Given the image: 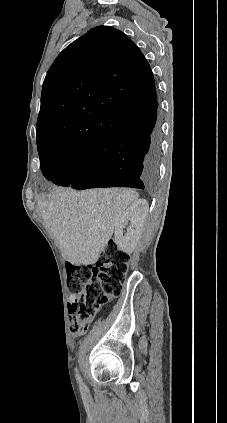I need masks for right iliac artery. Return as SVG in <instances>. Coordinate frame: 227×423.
I'll return each mask as SVG.
<instances>
[{"instance_id": "right-iliac-artery-1", "label": "right iliac artery", "mask_w": 227, "mask_h": 423, "mask_svg": "<svg viewBox=\"0 0 227 423\" xmlns=\"http://www.w3.org/2000/svg\"><path fill=\"white\" fill-rule=\"evenodd\" d=\"M75 370H76V379H77V381L79 383L80 388L82 389L84 387V383L82 381V378H81L80 374L78 373L77 368Z\"/></svg>"}]
</instances>
